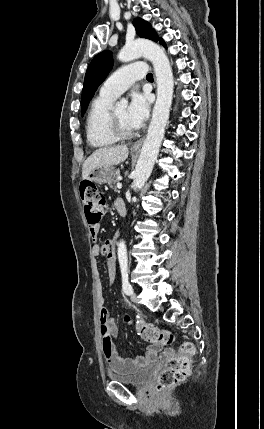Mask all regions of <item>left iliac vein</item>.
Here are the masks:
<instances>
[{
  "mask_svg": "<svg viewBox=\"0 0 264 429\" xmlns=\"http://www.w3.org/2000/svg\"><path fill=\"white\" fill-rule=\"evenodd\" d=\"M131 300H132L134 303H136V302H137V295H136V293H132V294H131Z\"/></svg>",
  "mask_w": 264,
  "mask_h": 429,
  "instance_id": "left-iliac-vein-1",
  "label": "left iliac vein"
}]
</instances>
